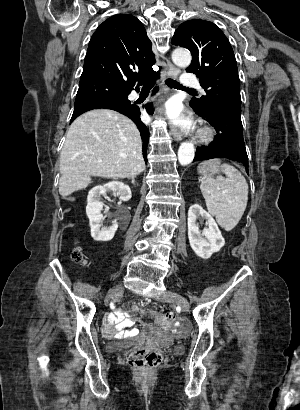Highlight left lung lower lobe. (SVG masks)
Listing matches in <instances>:
<instances>
[{
    "label": "left lung lower lobe",
    "mask_w": 300,
    "mask_h": 410,
    "mask_svg": "<svg viewBox=\"0 0 300 410\" xmlns=\"http://www.w3.org/2000/svg\"><path fill=\"white\" fill-rule=\"evenodd\" d=\"M205 118L215 128L217 135L209 146L197 148L194 161L227 158L242 162L247 169L248 156L240 113L219 107L213 109Z\"/></svg>",
    "instance_id": "left-lung-lower-lobe-1"
}]
</instances>
